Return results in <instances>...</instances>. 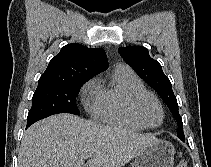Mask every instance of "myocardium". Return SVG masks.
<instances>
[{"label":"myocardium","mask_w":211,"mask_h":167,"mask_svg":"<svg viewBox=\"0 0 211 167\" xmlns=\"http://www.w3.org/2000/svg\"><path fill=\"white\" fill-rule=\"evenodd\" d=\"M144 95H148V96L152 97L160 108L161 120L156 125H148L147 123H145L142 120V118L140 117V115L138 113L137 103H138V100ZM127 109H128V112L130 113V115L132 116V118L136 122H138L141 126H143L144 128H149V129L158 128L159 126L162 125L164 118H165V110H164L163 104L160 101V99L154 92H152L148 89H145V88L135 90L129 95V97L127 99Z\"/></svg>","instance_id":"1"}]
</instances>
